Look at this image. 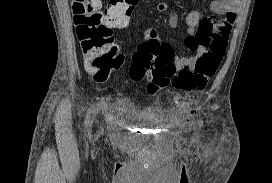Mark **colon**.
Wrapping results in <instances>:
<instances>
[{
    "instance_id": "5ec220e1",
    "label": "colon",
    "mask_w": 272,
    "mask_h": 183,
    "mask_svg": "<svg viewBox=\"0 0 272 183\" xmlns=\"http://www.w3.org/2000/svg\"><path fill=\"white\" fill-rule=\"evenodd\" d=\"M138 0H110L105 10L100 0H73L72 13L75 31L85 57L86 69L94 78L108 76L123 64V55L114 42V29L126 26ZM226 36L208 43L209 49L196 61L194 68L178 70L174 50L166 42H142L134 53L130 77L146 79L148 92L173 88L191 92L203 90L218 70L227 49Z\"/></svg>"
}]
</instances>
